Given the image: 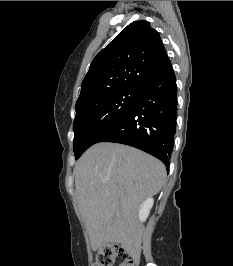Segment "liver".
<instances>
[{
    "mask_svg": "<svg viewBox=\"0 0 233 266\" xmlns=\"http://www.w3.org/2000/svg\"><path fill=\"white\" fill-rule=\"evenodd\" d=\"M74 176L76 199L92 248L116 243L131 252L138 247L143 230L138 207L161 190L164 164L127 145L98 143L78 160Z\"/></svg>",
    "mask_w": 233,
    "mask_h": 266,
    "instance_id": "1",
    "label": "liver"
}]
</instances>
